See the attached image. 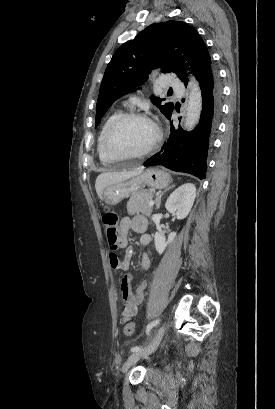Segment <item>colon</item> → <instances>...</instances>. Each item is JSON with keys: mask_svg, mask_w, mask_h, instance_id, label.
I'll return each instance as SVG.
<instances>
[{"mask_svg": "<svg viewBox=\"0 0 275 409\" xmlns=\"http://www.w3.org/2000/svg\"><path fill=\"white\" fill-rule=\"evenodd\" d=\"M102 223L105 227L107 241L111 248H119L121 237L120 228L118 226V214L115 211H107L101 217ZM136 325L134 322L126 323L124 326V335L130 337L134 334Z\"/></svg>", "mask_w": 275, "mask_h": 409, "instance_id": "1", "label": "colon"}]
</instances>
